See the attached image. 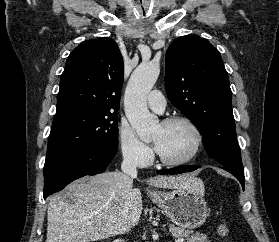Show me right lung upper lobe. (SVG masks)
<instances>
[{
	"mask_svg": "<svg viewBox=\"0 0 279 242\" xmlns=\"http://www.w3.org/2000/svg\"><path fill=\"white\" fill-rule=\"evenodd\" d=\"M123 59L108 37L87 40L67 58L60 79L56 114L78 109L118 112Z\"/></svg>",
	"mask_w": 279,
	"mask_h": 242,
	"instance_id": "cb5924a9",
	"label": "right lung upper lobe"
}]
</instances>
